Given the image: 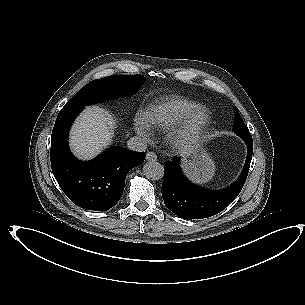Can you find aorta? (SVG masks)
<instances>
[{
	"label": "aorta",
	"instance_id": "1",
	"mask_svg": "<svg viewBox=\"0 0 305 305\" xmlns=\"http://www.w3.org/2000/svg\"><path fill=\"white\" fill-rule=\"evenodd\" d=\"M143 175L150 180H158L163 176V168L158 162H145L142 168Z\"/></svg>",
	"mask_w": 305,
	"mask_h": 305
}]
</instances>
